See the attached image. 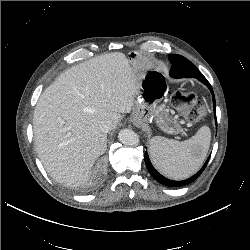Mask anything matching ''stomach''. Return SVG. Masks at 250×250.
Here are the masks:
<instances>
[{
	"instance_id": "obj_1",
	"label": "stomach",
	"mask_w": 250,
	"mask_h": 250,
	"mask_svg": "<svg viewBox=\"0 0 250 250\" xmlns=\"http://www.w3.org/2000/svg\"><path fill=\"white\" fill-rule=\"evenodd\" d=\"M132 64H139V55L132 52L129 55ZM166 91V82L153 73L144 74L141 87L134 98L133 112L130 121L137 127H146L151 120H156L159 127L167 133H178L180 127L170 116L165 104H160Z\"/></svg>"
}]
</instances>
